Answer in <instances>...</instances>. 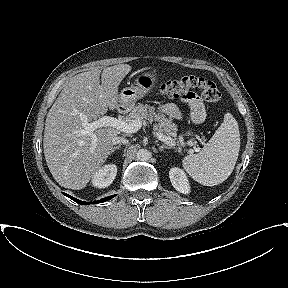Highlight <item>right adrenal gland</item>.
I'll use <instances>...</instances> for the list:
<instances>
[{
	"label": "right adrenal gland",
	"mask_w": 288,
	"mask_h": 288,
	"mask_svg": "<svg viewBox=\"0 0 288 288\" xmlns=\"http://www.w3.org/2000/svg\"><path fill=\"white\" fill-rule=\"evenodd\" d=\"M120 147H121V145H118V146H116V147H113L112 152H114L115 150L119 149Z\"/></svg>",
	"instance_id": "2a0ac1e0"
}]
</instances>
